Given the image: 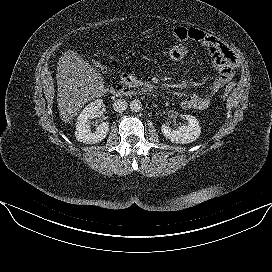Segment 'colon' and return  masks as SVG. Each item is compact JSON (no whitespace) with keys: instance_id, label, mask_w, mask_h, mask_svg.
Masks as SVG:
<instances>
[{"instance_id":"colon-1","label":"colon","mask_w":272,"mask_h":272,"mask_svg":"<svg viewBox=\"0 0 272 272\" xmlns=\"http://www.w3.org/2000/svg\"><path fill=\"white\" fill-rule=\"evenodd\" d=\"M165 56L173 62L184 61L188 57V49L181 44H172L165 48ZM236 87L235 83H230L226 86L222 98H225Z\"/></svg>"}]
</instances>
